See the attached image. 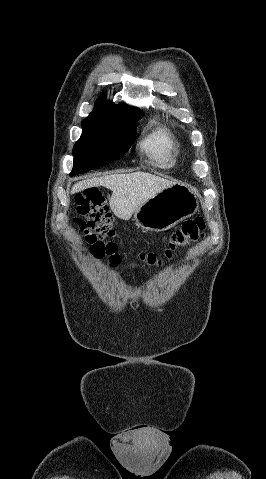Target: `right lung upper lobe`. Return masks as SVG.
<instances>
[{
  "instance_id": "obj_1",
  "label": "right lung upper lobe",
  "mask_w": 266,
  "mask_h": 479,
  "mask_svg": "<svg viewBox=\"0 0 266 479\" xmlns=\"http://www.w3.org/2000/svg\"><path fill=\"white\" fill-rule=\"evenodd\" d=\"M142 112L139 108L130 106H117L112 102H107L101 98L96 102L94 110L84 120H110L123 123H131L139 120Z\"/></svg>"
}]
</instances>
